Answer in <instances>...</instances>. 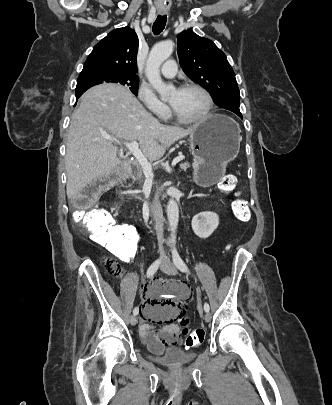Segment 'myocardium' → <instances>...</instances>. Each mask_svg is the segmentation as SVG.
Returning <instances> with one entry per match:
<instances>
[{
    "label": "myocardium",
    "instance_id": "obj_1",
    "mask_svg": "<svg viewBox=\"0 0 332 405\" xmlns=\"http://www.w3.org/2000/svg\"><path fill=\"white\" fill-rule=\"evenodd\" d=\"M188 89H194L199 91L205 98L206 100V108L203 111V113L201 115H199L196 118H192V119H186L183 118L182 116H180L176 110L173 108L172 105H170V113L171 116L179 123H183V124H197V123H201L203 121H205L211 114L212 109H213V99L212 96L210 95V93L200 84L197 83H184L180 86L179 90H188Z\"/></svg>",
    "mask_w": 332,
    "mask_h": 405
}]
</instances>
